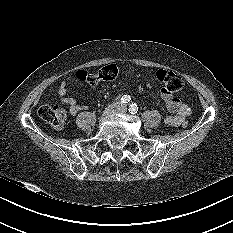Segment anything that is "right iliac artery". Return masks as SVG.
Instances as JSON below:
<instances>
[{
    "instance_id": "obj_1",
    "label": "right iliac artery",
    "mask_w": 233,
    "mask_h": 233,
    "mask_svg": "<svg viewBox=\"0 0 233 233\" xmlns=\"http://www.w3.org/2000/svg\"><path fill=\"white\" fill-rule=\"evenodd\" d=\"M131 100V97L129 95H124L122 98H121V103L122 104H128Z\"/></svg>"
}]
</instances>
